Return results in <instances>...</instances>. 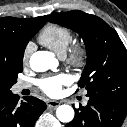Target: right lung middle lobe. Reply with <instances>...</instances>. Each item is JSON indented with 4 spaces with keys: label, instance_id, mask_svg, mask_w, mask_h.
<instances>
[{
    "label": "right lung middle lobe",
    "instance_id": "right-lung-middle-lobe-1",
    "mask_svg": "<svg viewBox=\"0 0 127 127\" xmlns=\"http://www.w3.org/2000/svg\"><path fill=\"white\" fill-rule=\"evenodd\" d=\"M37 32V31H36ZM34 32L31 34L25 43L29 42V40L36 34ZM23 70V59H19L17 61H1L0 62V93L1 94H9L11 93V86L17 82L18 73Z\"/></svg>",
    "mask_w": 127,
    "mask_h": 127
}]
</instances>
